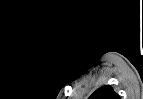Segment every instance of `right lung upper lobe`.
<instances>
[{
    "mask_svg": "<svg viewBox=\"0 0 143 99\" xmlns=\"http://www.w3.org/2000/svg\"><path fill=\"white\" fill-rule=\"evenodd\" d=\"M89 99H120L112 86L106 85L98 88Z\"/></svg>",
    "mask_w": 143,
    "mask_h": 99,
    "instance_id": "right-lung-upper-lobe-1",
    "label": "right lung upper lobe"
}]
</instances>
